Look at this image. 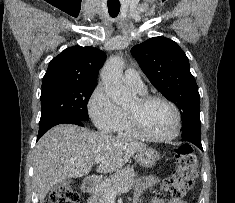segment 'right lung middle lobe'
<instances>
[{
    "label": "right lung middle lobe",
    "instance_id": "1",
    "mask_svg": "<svg viewBox=\"0 0 235 203\" xmlns=\"http://www.w3.org/2000/svg\"><path fill=\"white\" fill-rule=\"evenodd\" d=\"M96 83H57L42 87L39 125L61 118L88 121L87 103Z\"/></svg>",
    "mask_w": 235,
    "mask_h": 203
}]
</instances>
